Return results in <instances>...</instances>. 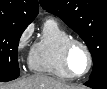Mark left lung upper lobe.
Listing matches in <instances>:
<instances>
[{
  "label": "left lung upper lobe",
  "mask_w": 107,
  "mask_h": 89,
  "mask_svg": "<svg viewBox=\"0 0 107 89\" xmlns=\"http://www.w3.org/2000/svg\"><path fill=\"white\" fill-rule=\"evenodd\" d=\"M84 40L93 58L90 79L107 69V0H40Z\"/></svg>",
  "instance_id": "5c2ea615"
}]
</instances>
